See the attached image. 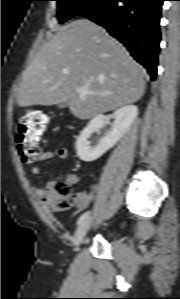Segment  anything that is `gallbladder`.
<instances>
[{
    "mask_svg": "<svg viewBox=\"0 0 180 299\" xmlns=\"http://www.w3.org/2000/svg\"><path fill=\"white\" fill-rule=\"evenodd\" d=\"M66 106H68V103H67V102H64V103H62V104L59 105V108H64V107H66Z\"/></svg>",
    "mask_w": 180,
    "mask_h": 299,
    "instance_id": "obj_1",
    "label": "gallbladder"
}]
</instances>
